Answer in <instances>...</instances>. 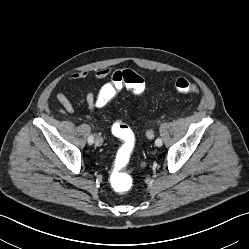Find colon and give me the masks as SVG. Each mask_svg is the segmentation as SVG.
I'll use <instances>...</instances> for the list:
<instances>
[{"mask_svg":"<svg viewBox=\"0 0 249 249\" xmlns=\"http://www.w3.org/2000/svg\"><path fill=\"white\" fill-rule=\"evenodd\" d=\"M111 84L117 91L123 87L130 89L134 94L139 95L146 88L145 80L132 70H117L111 75ZM174 87L181 94L195 93L197 85L186 78H178ZM113 98V97H112ZM112 98H108L106 103ZM113 134L123 141V145L117 154V161L126 166L131 157L134 146L135 136L132 129L125 123H116L112 128ZM128 176L121 170H115L111 185L115 192L124 193L128 190Z\"/></svg>","mask_w":249,"mask_h":249,"instance_id":"5ec220e1","label":"colon"}]
</instances>
